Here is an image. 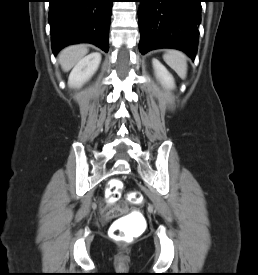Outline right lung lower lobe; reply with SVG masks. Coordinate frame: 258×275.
<instances>
[{
    "label": "right lung lower lobe",
    "mask_w": 258,
    "mask_h": 275,
    "mask_svg": "<svg viewBox=\"0 0 258 275\" xmlns=\"http://www.w3.org/2000/svg\"><path fill=\"white\" fill-rule=\"evenodd\" d=\"M53 52L74 43H92L108 52L113 0H49Z\"/></svg>",
    "instance_id": "obj_1"
}]
</instances>
